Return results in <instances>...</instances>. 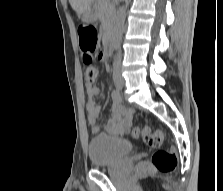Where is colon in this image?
<instances>
[{
  "mask_svg": "<svg viewBox=\"0 0 223 191\" xmlns=\"http://www.w3.org/2000/svg\"><path fill=\"white\" fill-rule=\"evenodd\" d=\"M98 34L91 25H84L80 31V47L84 52V63L86 64L85 77L88 83H94L97 80L98 72L92 67L94 53L96 51ZM136 139L143 141L151 148L156 150L152 154L151 161L148 164H141L139 170L148 172L156 169L162 173H171L176 169L177 158L172 149L161 148L163 135L160 131L151 132L148 127H136L132 131Z\"/></svg>",
  "mask_w": 223,
  "mask_h": 191,
  "instance_id": "1",
  "label": "colon"
}]
</instances>
